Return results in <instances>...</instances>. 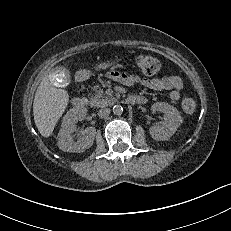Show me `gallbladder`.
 Wrapping results in <instances>:
<instances>
[{"label":"gallbladder","instance_id":"obj_1","mask_svg":"<svg viewBox=\"0 0 231 231\" xmlns=\"http://www.w3.org/2000/svg\"><path fill=\"white\" fill-rule=\"evenodd\" d=\"M49 80L58 88H65L70 83V73L64 67H55L49 73Z\"/></svg>","mask_w":231,"mask_h":231}]
</instances>
